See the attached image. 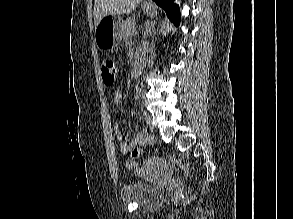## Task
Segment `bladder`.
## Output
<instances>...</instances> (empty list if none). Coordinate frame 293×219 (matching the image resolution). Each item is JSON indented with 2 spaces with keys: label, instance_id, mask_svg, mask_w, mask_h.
I'll return each instance as SVG.
<instances>
[{
  "label": "bladder",
  "instance_id": "1",
  "mask_svg": "<svg viewBox=\"0 0 293 219\" xmlns=\"http://www.w3.org/2000/svg\"><path fill=\"white\" fill-rule=\"evenodd\" d=\"M122 200L152 208L158 206L164 198V191L157 185L141 180L126 183L120 192Z\"/></svg>",
  "mask_w": 293,
  "mask_h": 219
}]
</instances>
